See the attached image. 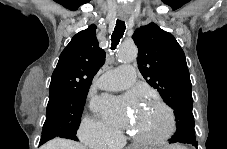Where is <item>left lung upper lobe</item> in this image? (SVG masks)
<instances>
[{
	"instance_id": "1",
	"label": "left lung upper lobe",
	"mask_w": 227,
	"mask_h": 149,
	"mask_svg": "<svg viewBox=\"0 0 227 149\" xmlns=\"http://www.w3.org/2000/svg\"><path fill=\"white\" fill-rule=\"evenodd\" d=\"M132 38L139 50L141 74L174 110L175 134L195 133L192 87L182 48L172 34L155 23L136 29Z\"/></svg>"
}]
</instances>
